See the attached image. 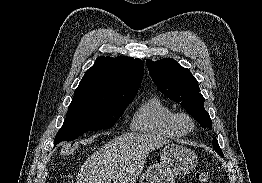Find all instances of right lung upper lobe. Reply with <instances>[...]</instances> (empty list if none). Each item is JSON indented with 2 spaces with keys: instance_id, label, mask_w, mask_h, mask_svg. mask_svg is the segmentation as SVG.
Here are the masks:
<instances>
[{
  "instance_id": "1",
  "label": "right lung upper lobe",
  "mask_w": 262,
  "mask_h": 183,
  "mask_svg": "<svg viewBox=\"0 0 262 183\" xmlns=\"http://www.w3.org/2000/svg\"><path fill=\"white\" fill-rule=\"evenodd\" d=\"M140 59L119 56H101L86 71L74 96H91L104 99H133L143 78Z\"/></svg>"
}]
</instances>
